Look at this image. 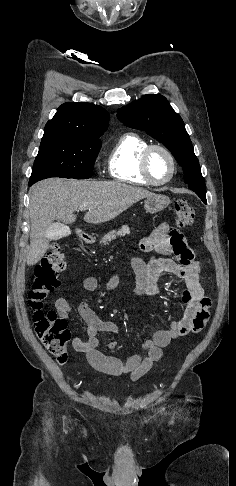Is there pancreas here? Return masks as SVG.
Returning <instances> with one entry per match:
<instances>
[{"instance_id":"1","label":"pancreas","mask_w":236,"mask_h":486,"mask_svg":"<svg viewBox=\"0 0 236 486\" xmlns=\"http://www.w3.org/2000/svg\"><path fill=\"white\" fill-rule=\"evenodd\" d=\"M130 234V229L127 225L121 227L118 231H110L107 233L100 241V244L106 245L108 242L115 240L117 237L125 236Z\"/></svg>"}]
</instances>
